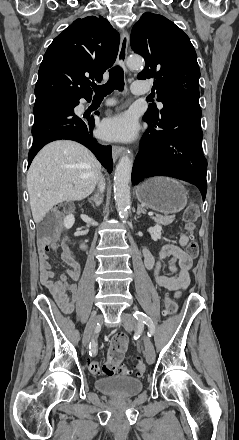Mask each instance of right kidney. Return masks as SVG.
Returning a JSON list of instances; mask_svg holds the SVG:
<instances>
[{
	"label": "right kidney",
	"instance_id": "obj_1",
	"mask_svg": "<svg viewBox=\"0 0 239 440\" xmlns=\"http://www.w3.org/2000/svg\"><path fill=\"white\" fill-rule=\"evenodd\" d=\"M73 224H75V218H74L73 214H69V216H66V218H64V226H65L66 230H70V228H72Z\"/></svg>",
	"mask_w": 239,
	"mask_h": 440
}]
</instances>
